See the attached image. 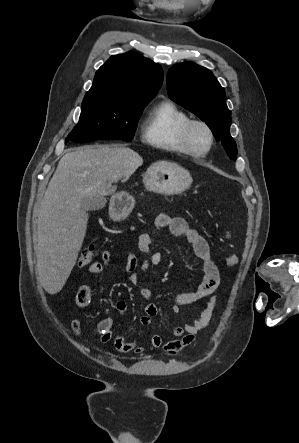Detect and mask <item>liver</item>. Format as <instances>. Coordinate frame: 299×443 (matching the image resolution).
Returning <instances> with one entry per match:
<instances>
[{
    "label": "liver",
    "mask_w": 299,
    "mask_h": 443,
    "mask_svg": "<svg viewBox=\"0 0 299 443\" xmlns=\"http://www.w3.org/2000/svg\"><path fill=\"white\" fill-rule=\"evenodd\" d=\"M142 164L137 152L117 145L80 147L60 159L37 221L36 271L47 293L62 290L78 258L89 218L82 198L111 194L112 183L129 178Z\"/></svg>",
    "instance_id": "1"
}]
</instances>
